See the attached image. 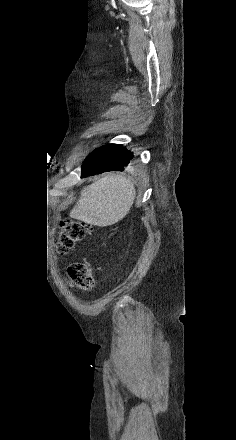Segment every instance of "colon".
<instances>
[{
    "label": "colon",
    "instance_id": "5ec220e1",
    "mask_svg": "<svg viewBox=\"0 0 236 440\" xmlns=\"http://www.w3.org/2000/svg\"><path fill=\"white\" fill-rule=\"evenodd\" d=\"M91 233V227L81 221L66 220L62 222L58 235V251L67 254L76 243L84 240ZM69 282L75 288L89 290L94 286L92 269L87 263H72L68 267Z\"/></svg>",
    "mask_w": 236,
    "mask_h": 440
}]
</instances>
